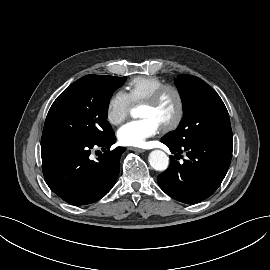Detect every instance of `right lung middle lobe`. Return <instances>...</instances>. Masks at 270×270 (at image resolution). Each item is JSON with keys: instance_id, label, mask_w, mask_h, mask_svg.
Returning a JSON list of instances; mask_svg holds the SVG:
<instances>
[{"instance_id": "right-lung-middle-lobe-1", "label": "right lung middle lobe", "mask_w": 270, "mask_h": 270, "mask_svg": "<svg viewBox=\"0 0 270 270\" xmlns=\"http://www.w3.org/2000/svg\"><path fill=\"white\" fill-rule=\"evenodd\" d=\"M125 77L86 75L62 92L47 114L42 139L98 143L113 133L107 121L112 93Z\"/></svg>"}]
</instances>
